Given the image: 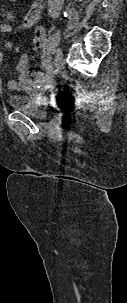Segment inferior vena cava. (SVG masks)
<instances>
[{
	"label": "inferior vena cava",
	"mask_w": 127,
	"mask_h": 303,
	"mask_svg": "<svg viewBox=\"0 0 127 303\" xmlns=\"http://www.w3.org/2000/svg\"><path fill=\"white\" fill-rule=\"evenodd\" d=\"M64 0H48V12L52 18H57L62 9Z\"/></svg>",
	"instance_id": "1"
}]
</instances>
